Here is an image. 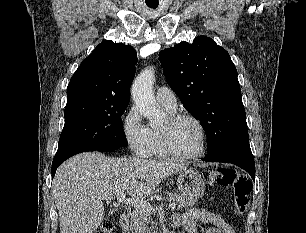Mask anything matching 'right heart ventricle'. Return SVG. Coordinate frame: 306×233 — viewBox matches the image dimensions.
Wrapping results in <instances>:
<instances>
[{"mask_svg": "<svg viewBox=\"0 0 306 233\" xmlns=\"http://www.w3.org/2000/svg\"><path fill=\"white\" fill-rule=\"evenodd\" d=\"M163 107V106H162ZM169 114H173L175 110H169L165 107H163ZM153 134V151L152 154L156 157H165L168 155L166 152L164 146H163V141H162V135H161V130L160 129H153L152 130Z\"/></svg>", "mask_w": 306, "mask_h": 233, "instance_id": "obj_1", "label": "right heart ventricle"}]
</instances>
